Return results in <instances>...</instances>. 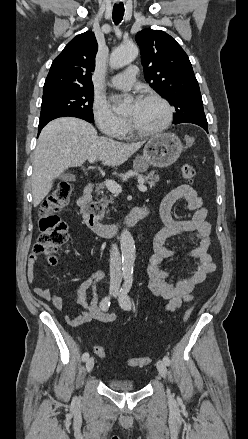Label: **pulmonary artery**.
Wrapping results in <instances>:
<instances>
[{"mask_svg": "<svg viewBox=\"0 0 248 439\" xmlns=\"http://www.w3.org/2000/svg\"><path fill=\"white\" fill-rule=\"evenodd\" d=\"M136 74L137 67L130 66L125 72L113 76L110 84L117 89H126L134 83Z\"/></svg>", "mask_w": 248, "mask_h": 439, "instance_id": "1", "label": "pulmonary artery"}]
</instances>
